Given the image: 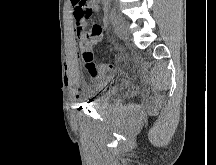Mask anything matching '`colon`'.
<instances>
[{"label":"colon","mask_w":216,"mask_h":165,"mask_svg":"<svg viewBox=\"0 0 216 165\" xmlns=\"http://www.w3.org/2000/svg\"><path fill=\"white\" fill-rule=\"evenodd\" d=\"M73 4L83 5L86 0H72ZM84 14V13H82ZM102 36V27L99 24L93 25L87 32V39L80 44V57L87 68L94 71L97 75L108 73L113 66L110 64H96L93 61L91 46L96 44Z\"/></svg>","instance_id":"obj_1"}]
</instances>
